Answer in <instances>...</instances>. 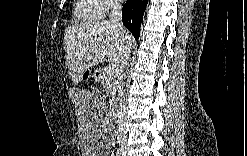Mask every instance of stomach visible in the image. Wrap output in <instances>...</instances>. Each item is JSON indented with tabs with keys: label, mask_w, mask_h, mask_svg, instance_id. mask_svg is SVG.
<instances>
[{
	"label": "stomach",
	"mask_w": 247,
	"mask_h": 156,
	"mask_svg": "<svg viewBox=\"0 0 247 156\" xmlns=\"http://www.w3.org/2000/svg\"><path fill=\"white\" fill-rule=\"evenodd\" d=\"M88 77H90V72H89V70H86V71L83 73L82 78H88Z\"/></svg>",
	"instance_id": "obj_1"
}]
</instances>
